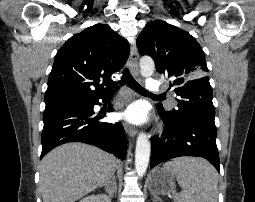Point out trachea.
<instances>
[{"instance_id": "trachea-1", "label": "trachea", "mask_w": 255, "mask_h": 202, "mask_svg": "<svg viewBox=\"0 0 255 202\" xmlns=\"http://www.w3.org/2000/svg\"><path fill=\"white\" fill-rule=\"evenodd\" d=\"M120 84L121 85L127 84L130 88H132L133 90H135L136 92H138L140 94L152 95L151 93L146 91L141 85H139V83L132 77V75L130 74V72L127 68L123 71V75L120 80ZM157 97L161 98L164 96L159 95Z\"/></svg>"}]
</instances>
